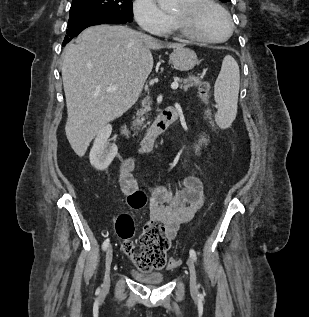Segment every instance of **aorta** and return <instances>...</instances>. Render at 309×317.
I'll return each instance as SVG.
<instances>
[{"mask_svg":"<svg viewBox=\"0 0 309 317\" xmlns=\"http://www.w3.org/2000/svg\"><path fill=\"white\" fill-rule=\"evenodd\" d=\"M161 9L170 11L176 7L178 0H157Z\"/></svg>","mask_w":309,"mask_h":317,"instance_id":"obj_1","label":"aorta"}]
</instances>
